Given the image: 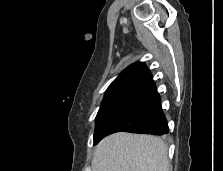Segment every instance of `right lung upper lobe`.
Here are the masks:
<instances>
[{
    "label": "right lung upper lobe",
    "mask_w": 223,
    "mask_h": 171,
    "mask_svg": "<svg viewBox=\"0 0 223 171\" xmlns=\"http://www.w3.org/2000/svg\"><path fill=\"white\" fill-rule=\"evenodd\" d=\"M155 87L152 75L144 63L127 67L108 87L104 99L112 97L138 98Z\"/></svg>",
    "instance_id": "right-lung-upper-lobe-1"
}]
</instances>
